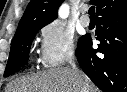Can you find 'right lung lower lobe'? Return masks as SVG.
Instances as JSON below:
<instances>
[{
    "instance_id": "right-lung-lower-lobe-1",
    "label": "right lung lower lobe",
    "mask_w": 127,
    "mask_h": 92,
    "mask_svg": "<svg viewBox=\"0 0 127 92\" xmlns=\"http://www.w3.org/2000/svg\"><path fill=\"white\" fill-rule=\"evenodd\" d=\"M96 35V50L89 34L78 43L81 68L101 90L127 92V7L99 14Z\"/></svg>"
}]
</instances>
